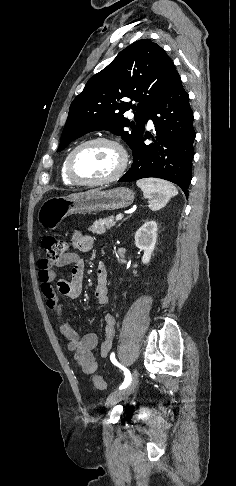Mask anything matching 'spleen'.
Returning a JSON list of instances; mask_svg holds the SVG:
<instances>
[{
  "mask_svg": "<svg viewBox=\"0 0 236 486\" xmlns=\"http://www.w3.org/2000/svg\"><path fill=\"white\" fill-rule=\"evenodd\" d=\"M136 184L142 190L144 197L149 200V208L152 211L161 209L172 197L178 195V190L173 184L161 179H140Z\"/></svg>",
  "mask_w": 236,
  "mask_h": 486,
  "instance_id": "obj_1",
  "label": "spleen"
}]
</instances>
